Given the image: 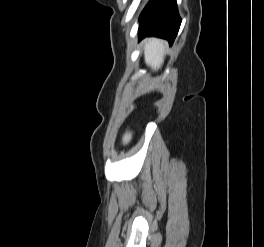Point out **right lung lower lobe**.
<instances>
[{
  "label": "right lung lower lobe",
  "instance_id": "obj_1",
  "mask_svg": "<svg viewBox=\"0 0 264 247\" xmlns=\"http://www.w3.org/2000/svg\"><path fill=\"white\" fill-rule=\"evenodd\" d=\"M139 20V40L156 36L168 40L170 45L181 24L176 0H150Z\"/></svg>",
  "mask_w": 264,
  "mask_h": 247
}]
</instances>
